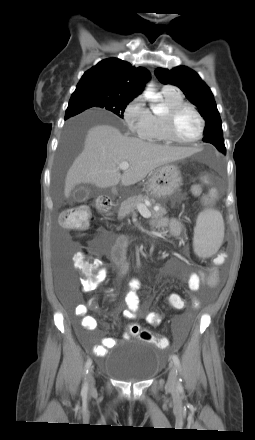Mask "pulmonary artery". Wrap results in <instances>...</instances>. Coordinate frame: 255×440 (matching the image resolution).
I'll return each instance as SVG.
<instances>
[{
    "label": "pulmonary artery",
    "instance_id": "obj_1",
    "mask_svg": "<svg viewBox=\"0 0 255 440\" xmlns=\"http://www.w3.org/2000/svg\"><path fill=\"white\" fill-rule=\"evenodd\" d=\"M170 88H171V86L166 85V86L163 87V90H169Z\"/></svg>",
    "mask_w": 255,
    "mask_h": 440
}]
</instances>
